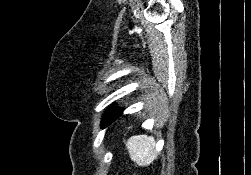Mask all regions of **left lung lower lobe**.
<instances>
[{
  "instance_id": "0a47b994",
  "label": "left lung lower lobe",
  "mask_w": 251,
  "mask_h": 175,
  "mask_svg": "<svg viewBox=\"0 0 251 175\" xmlns=\"http://www.w3.org/2000/svg\"><path fill=\"white\" fill-rule=\"evenodd\" d=\"M123 109L118 108H110L103 117V120L106 124L110 125L114 122L117 118L122 115Z\"/></svg>"
}]
</instances>
